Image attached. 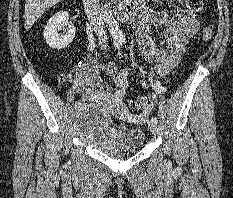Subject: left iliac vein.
Returning a JSON list of instances; mask_svg holds the SVG:
<instances>
[{"label": "left iliac vein", "instance_id": "1", "mask_svg": "<svg viewBox=\"0 0 233 198\" xmlns=\"http://www.w3.org/2000/svg\"><path fill=\"white\" fill-rule=\"evenodd\" d=\"M148 127L152 133H155L157 131V124L152 120L148 121Z\"/></svg>", "mask_w": 233, "mask_h": 198}]
</instances>
